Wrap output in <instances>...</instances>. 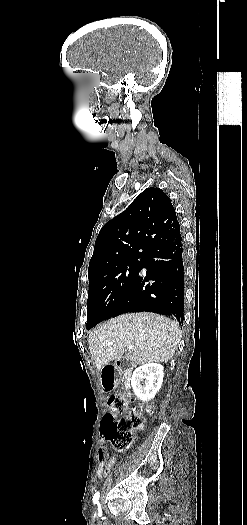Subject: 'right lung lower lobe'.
I'll list each match as a JSON object with an SVG mask.
<instances>
[{"label": "right lung lower lobe", "mask_w": 247, "mask_h": 525, "mask_svg": "<svg viewBox=\"0 0 247 525\" xmlns=\"http://www.w3.org/2000/svg\"><path fill=\"white\" fill-rule=\"evenodd\" d=\"M145 277L138 276L114 316L147 311L183 320L184 268L180 228L142 257Z\"/></svg>", "instance_id": "98d812e1"}]
</instances>
